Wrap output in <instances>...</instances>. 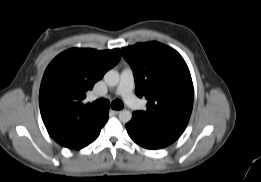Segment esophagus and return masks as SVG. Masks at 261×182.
<instances>
[{"label": "esophagus", "mask_w": 261, "mask_h": 182, "mask_svg": "<svg viewBox=\"0 0 261 182\" xmlns=\"http://www.w3.org/2000/svg\"><path fill=\"white\" fill-rule=\"evenodd\" d=\"M110 112L113 113V114H119L120 110L110 109Z\"/></svg>", "instance_id": "obj_1"}]
</instances>
